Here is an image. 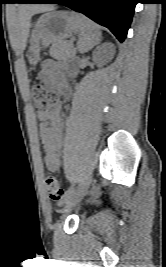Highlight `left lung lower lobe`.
Masks as SVG:
<instances>
[{
  "label": "left lung lower lobe",
  "mask_w": 166,
  "mask_h": 267,
  "mask_svg": "<svg viewBox=\"0 0 166 267\" xmlns=\"http://www.w3.org/2000/svg\"><path fill=\"white\" fill-rule=\"evenodd\" d=\"M31 3L65 5L107 27L120 42H123L137 2L136 0H34Z\"/></svg>",
  "instance_id": "obj_1"
}]
</instances>
